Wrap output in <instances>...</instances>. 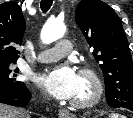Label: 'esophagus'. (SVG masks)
Instances as JSON below:
<instances>
[{"label": "esophagus", "instance_id": "esophagus-1", "mask_svg": "<svg viewBox=\"0 0 133 118\" xmlns=\"http://www.w3.org/2000/svg\"><path fill=\"white\" fill-rule=\"evenodd\" d=\"M59 117L60 118H75V115H73L72 113H70L69 110L63 108L59 110Z\"/></svg>", "mask_w": 133, "mask_h": 118}]
</instances>
